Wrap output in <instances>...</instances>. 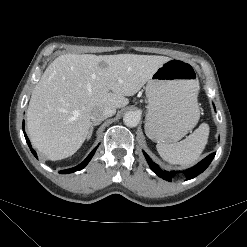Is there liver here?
<instances>
[{
	"label": "liver",
	"mask_w": 247,
	"mask_h": 247,
	"mask_svg": "<svg viewBox=\"0 0 247 247\" xmlns=\"http://www.w3.org/2000/svg\"><path fill=\"white\" fill-rule=\"evenodd\" d=\"M171 58L155 55L65 54L35 86L27 109L33 146L49 160L72 156L87 138L96 108L125 107Z\"/></svg>",
	"instance_id": "obj_1"
}]
</instances>
